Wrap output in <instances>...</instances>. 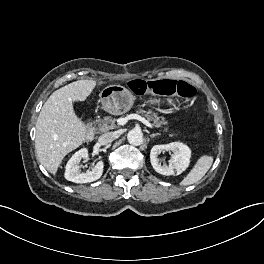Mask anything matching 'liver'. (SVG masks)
Segmentation results:
<instances>
[{
	"label": "liver",
	"mask_w": 264,
	"mask_h": 264,
	"mask_svg": "<svg viewBox=\"0 0 264 264\" xmlns=\"http://www.w3.org/2000/svg\"><path fill=\"white\" fill-rule=\"evenodd\" d=\"M96 86L94 80L72 82L44 103L36 123V154L48 172L55 175L63 158L86 138V126L76 116L73 102L85 101Z\"/></svg>",
	"instance_id": "obj_1"
}]
</instances>
